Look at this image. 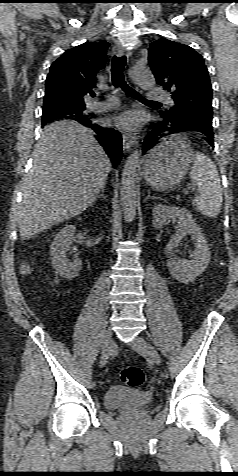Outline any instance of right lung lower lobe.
<instances>
[{
	"label": "right lung lower lobe",
	"instance_id": "98d812e1",
	"mask_svg": "<svg viewBox=\"0 0 238 476\" xmlns=\"http://www.w3.org/2000/svg\"><path fill=\"white\" fill-rule=\"evenodd\" d=\"M84 126H88L96 133V139L100 145L104 148L108 156L111 158L112 164L116 166L119 163L122 153V137L121 134L112 128H103L96 123L93 119H86L78 121ZM45 125V124H43Z\"/></svg>",
	"mask_w": 238,
	"mask_h": 476
}]
</instances>
